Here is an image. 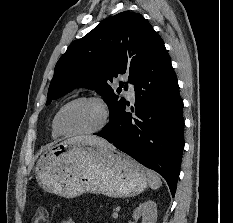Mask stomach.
<instances>
[{
    "mask_svg": "<svg viewBox=\"0 0 233 223\" xmlns=\"http://www.w3.org/2000/svg\"><path fill=\"white\" fill-rule=\"evenodd\" d=\"M38 185L61 197L103 193L133 197L146 189L147 169L129 155L89 143L60 141L40 155L34 167Z\"/></svg>",
    "mask_w": 233,
    "mask_h": 223,
    "instance_id": "obj_1",
    "label": "stomach"
}]
</instances>
